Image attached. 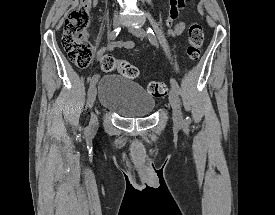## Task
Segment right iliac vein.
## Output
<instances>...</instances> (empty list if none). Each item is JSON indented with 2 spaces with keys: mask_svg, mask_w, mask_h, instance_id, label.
Returning <instances> with one entry per match:
<instances>
[{
  "mask_svg": "<svg viewBox=\"0 0 275 215\" xmlns=\"http://www.w3.org/2000/svg\"><path fill=\"white\" fill-rule=\"evenodd\" d=\"M120 24V18L119 17H115L113 20V26L117 27ZM96 100V85L95 83L91 86L90 91H89V103L90 106L92 107L94 102ZM91 124L93 126L97 125V116L95 115V113H91Z\"/></svg>",
  "mask_w": 275,
  "mask_h": 215,
  "instance_id": "right-iliac-vein-1",
  "label": "right iliac vein"
}]
</instances>
